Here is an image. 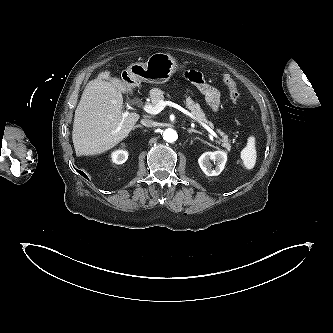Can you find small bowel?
<instances>
[{
  "mask_svg": "<svg viewBox=\"0 0 333 333\" xmlns=\"http://www.w3.org/2000/svg\"><path fill=\"white\" fill-rule=\"evenodd\" d=\"M185 77L192 84H194L197 89L205 96L207 103L213 110H218L220 107V93L219 91L210 85L198 71H188L185 73Z\"/></svg>",
  "mask_w": 333,
  "mask_h": 333,
  "instance_id": "small-bowel-1",
  "label": "small bowel"
}]
</instances>
